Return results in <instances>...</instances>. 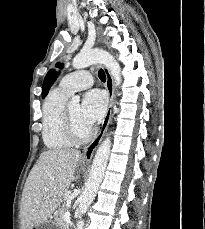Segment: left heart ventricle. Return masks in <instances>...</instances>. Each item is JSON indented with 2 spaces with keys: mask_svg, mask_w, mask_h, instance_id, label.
I'll return each instance as SVG.
<instances>
[{
  "mask_svg": "<svg viewBox=\"0 0 205 229\" xmlns=\"http://www.w3.org/2000/svg\"><path fill=\"white\" fill-rule=\"evenodd\" d=\"M81 106L78 103L69 105V110L72 115V118L75 122L76 128L80 133H86L90 126L87 125L81 118L80 113Z\"/></svg>",
  "mask_w": 205,
  "mask_h": 229,
  "instance_id": "obj_1",
  "label": "left heart ventricle"
}]
</instances>
